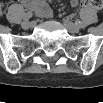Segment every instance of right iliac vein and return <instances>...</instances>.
Instances as JSON below:
<instances>
[{
    "label": "right iliac vein",
    "mask_w": 103,
    "mask_h": 103,
    "mask_svg": "<svg viewBox=\"0 0 103 103\" xmlns=\"http://www.w3.org/2000/svg\"><path fill=\"white\" fill-rule=\"evenodd\" d=\"M31 26H32V23H31L30 21H27V20L23 21L22 24H21V27H22L23 29H28V28H30Z\"/></svg>",
    "instance_id": "obj_1"
}]
</instances>
